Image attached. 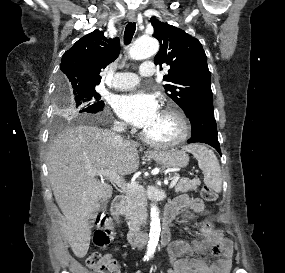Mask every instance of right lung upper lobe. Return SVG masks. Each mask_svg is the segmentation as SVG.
<instances>
[{
    "label": "right lung upper lobe",
    "mask_w": 285,
    "mask_h": 273,
    "mask_svg": "<svg viewBox=\"0 0 285 273\" xmlns=\"http://www.w3.org/2000/svg\"><path fill=\"white\" fill-rule=\"evenodd\" d=\"M119 53V39H107L102 31L96 29L63 54L61 78L70 90L95 88L101 81V69L114 61Z\"/></svg>",
    "instance_id": "obj_1"
}]
</instances>
